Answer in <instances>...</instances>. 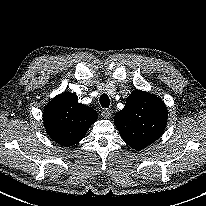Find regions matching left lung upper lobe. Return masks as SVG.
<instances>
[{"mask_svg": "<svg viewBox=\"0 0 206 206\" xmlns=\"http://www.w3.org/2000/svg\"><path fill=\"white\" fill-rule=\"evenodd\" d=\"M167 118V108L159 97L137 90L128 96L114 123L126 144L141 150L162 135Z\"/></svg>", "mask_w": 206, "mask_h": 206, "instance_id": "obj_1", "label": "left lung upper lobe"}]
</instances>
